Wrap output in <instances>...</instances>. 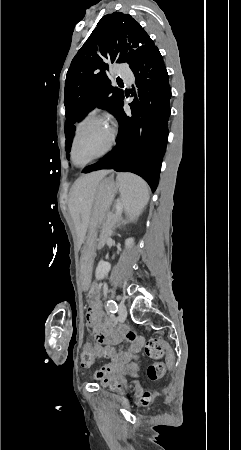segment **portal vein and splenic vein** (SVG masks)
I'll return each mask as SVG.
<instances>
[{"instance_id": "1", "label": "portal vein and splenic vein", "mask_w": 241, "mask_h": 450, "mask_svg": "<svg viewBox=\"0 0 241 450\" xmlns=\"http://www.w3.org/2000/svg\"><path fill=\"white\" fill-rule=\"evenodd\" d=\"M124 202H119L118 204H114L113 208L115 209L116 213H122V207H124Z\"/></svg>"}]
</instances>
